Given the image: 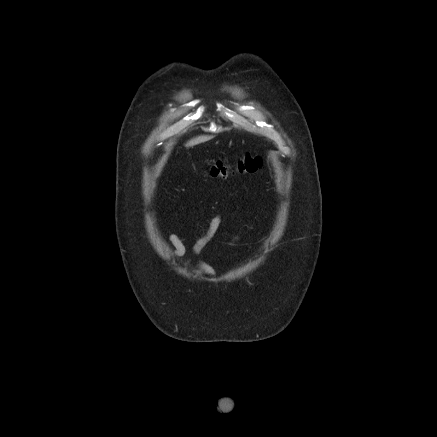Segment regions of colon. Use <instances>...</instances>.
<instances>
[{
	"instance_id": "colon-1",
	"label": "colon",
	"mask_w": 437,
	"mask_h": 437,
	"mask_svg": "<svg viewBox=\"0 0 437 437\" xmlns=\"http://www.w3.org/2000/svg\"><path fill=\"white\" fill-rule=\"evenodd\" d=\"M262 165V160L259 156L254 154H246L239 158L234 165H229L223 162H216L209 168V173L213 177L225 178L229 174L238 172H254Z\"/></svg>"
}]
</instances>
